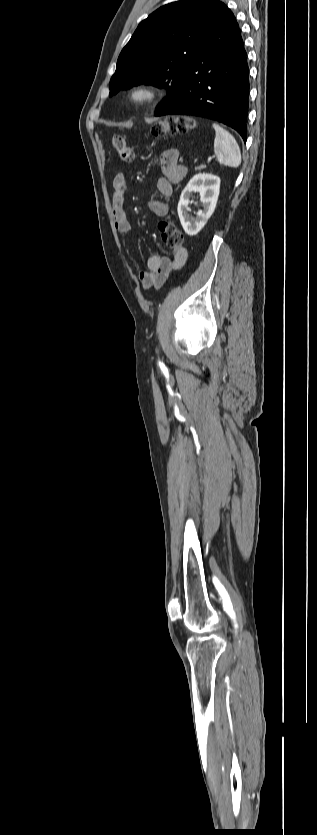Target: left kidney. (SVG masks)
<instances>
[{
    "instance_id": "left-kidney-1",
    "label": "left kidney",
    "mask_w": 317,
    "mask_h": 835,
    "mask_svg": "<svg viewBox=\"0 0 317 835\" xmlns=\"http://www.w3.org/2000/svg\"><path fill=\"white\" fill-rule=\"evenodd\" d=\"M220 190V178L213 174L199 173L193 176L181 193L177 211L184 231L190 235H196L207 223L213 214ZM194 192H199L200 202L203 209H200L196 218L189 212V204L194 203L190 199Z\"/></svg>"
}]
</instances>
